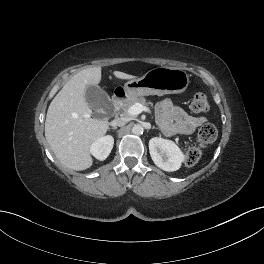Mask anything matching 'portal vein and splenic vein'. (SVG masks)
<instances>
[{"instance_id": "obj_1", "label": "portal vein and splenic vein", "mask_w": 264, "mask_h": 264, "mask_svg": "<svg viewBox=\"0 0 264 264\" xmlns=\"http://www.w3.org/2000/svg\"><path fill=\"white\" fill-rule=\"evenodd\" d=\"M143 111L151 113L150 108H148V107H146L140 103H136L128 109V114L131 116H136V115H139L140 113H142Z\"/></svg>"}]
</instances>
